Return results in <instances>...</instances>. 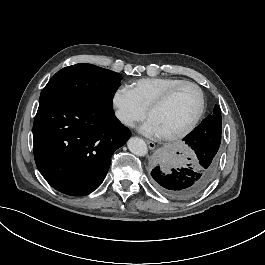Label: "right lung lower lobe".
I'll list each match as a JSON object with an SVG mask.
<instances>
[{"instance_id": "right-lung-lower-lobe-1", "label": "right lung lower lobe", "mask_w": 265, "mask_h": 265, "mask_svg": "<svg viewBox=\"0 0 265 265\" xmlns=\"http://www.w3.org/2000/svg\"><path fill=\"white\" fill-rule=\"evenodd\" d=\"M130 135L112 107L46 96L33 124L35 162L53 188L84 196L100 186Z\"/></svg>"}]
</instances>
